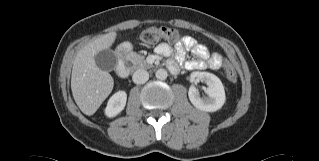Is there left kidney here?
<instances>
[{
	"instance_id": "1",
	"label": "left kidney",
	"mask_w": 319,
	"mask_h": 161,
	"mask_svg": "<svg viewBox=\"0 0 319 161\" xmlns=\"http://www.w3.org/2000/svg\"><path fill=\"white\" fill-rule=\"evenodd\" d=\"M190 81L195 84L201 81L207 85L204 89L206 97H201L194 85L189 88V99L197 109L215 112L224 105L226 100L224 86L216 75L209 72H193L190 75Z\"/></svg>"
}]
</instances>
